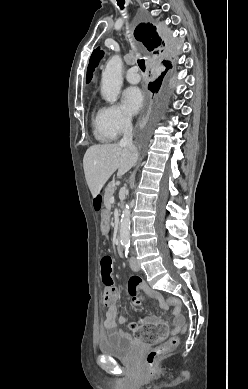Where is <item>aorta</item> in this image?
<instances>
[{"label": "aorta", "mask_w": 248, "mask_h": 389, "mask_svg": "<svg viewBox=\"0 0 248 389\" xmlns=\"http://www.w3.org/2000/svg\"><path fill=\"white\" fill-rule=\"evenodd\" d=\"M121 71L122 59L114 55L106 63L102 72L101 94L111 104L117 100L122 87ZM130 223V205L126 204L120 220V239L125 248L130 245Z\"/></svg>", "instance_id": "aorta-1"}]
</instances>
